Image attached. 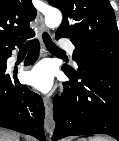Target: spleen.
<instances>
[{"instance_id": "1", "label": "spleen", "mask_w": 119, "mask_h": 141, "mask_svg": "<svg viewBox=\"0 0 119 141\" xmlns=\"http://www.w3.org/2000/svg\"><path fill=\"white\" fill-rule=\"evenodd\" d=\"M79 141H109L105 137L101 136H94V137H89L87 139H79Z\"/></svg>"}]
</instances>
